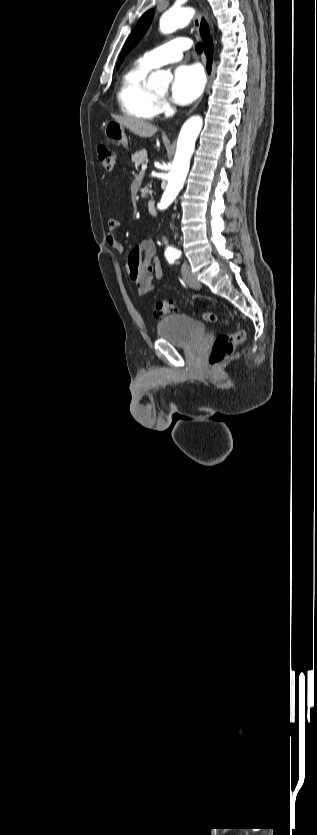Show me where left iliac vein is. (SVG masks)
<instances>
[{"instance_id": "4c4485c4", "label": "left iliac vein", "mask_w": 317, "mask_h": 835, "mask_svg": "<svg viewBox=\"0 0 317 835\" xmlns=\"http://www.w3.org/2000/svg\"><path fill=\"white\" fill-rule=\"evenodd\" d=\"M181 272H182V277H183V280L185 281V283H186L188 286H190V287H192V288H195V289H197V288H199V287H200V283H199V282L197 281V279L193 276V274H192V272H191V269H190V266H189V264H188V263H183V265H182V269H181Z\"/></svg>"}]
</instances>
